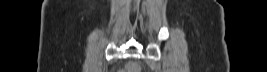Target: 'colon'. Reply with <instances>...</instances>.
<instances>
[{"label":"colon","instance_id":"colon-1","mask_svg":"<svg viewBox=\"0 0 267 72\" xmlns=\"http://www.w3.org/2000/svg\"><path fill=\"white\" fill-rule=\"evenodd\" d=\"M139 69L135 65L128 66V72H137Z\"/></svg>","mask_w":267,"mask_h":72}]
</instances>
